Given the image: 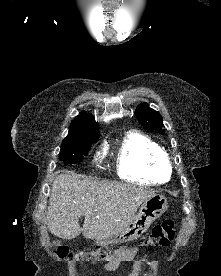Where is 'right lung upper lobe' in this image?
<instances>
[{"label":"right lung upper lobe","mask_w":221,"mask_h":276,"mask_svg":"<svg viewBox=\"0 0 221 276\" xmlns=\"http://www.w3.org/2000/svg\"><path fill=\"white\" fill-rule=\"evenodd\" d=\"M99 137V128L94 117L91 114L82 111L71 122L69 134L63 142L93 141L98 140Z\"/></svg>","instance_id":"obj_1"}]
</instances>
